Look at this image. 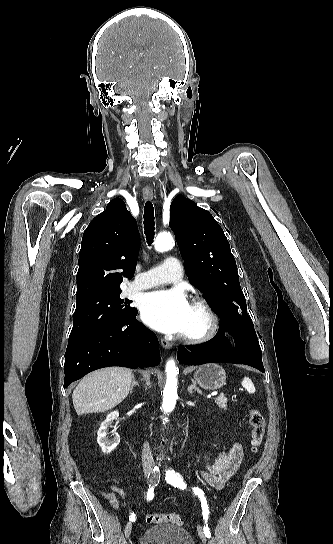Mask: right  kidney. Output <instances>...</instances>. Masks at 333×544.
Listing matches in <instances>:
<instances>
[{"mask_svg":"<svg viewBox=\"0 0 333 544\" xmlns=\"http://www.w3.org/2000/svg\"><path fill=\"white\" fill-rule=\"evenodd\" d=\"M119 416L118 411H113L109 413L106 417V419L101 423V426L97 432V442L99 446L101 447V450L104 454L111 453L119 444L120 442V436L116 433L115 430H113L112 439H108L107 437V429L108 427H111L112 421L115 420Z\"/></svg>","mask_w":333,"mask_h":544,"instance_id":"ca27d5eb","label":"right kidney"}]
</instances>
